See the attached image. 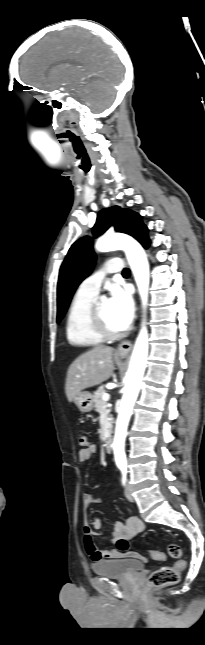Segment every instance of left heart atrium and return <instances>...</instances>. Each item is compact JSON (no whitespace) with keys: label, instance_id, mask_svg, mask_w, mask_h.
Listing matches in <instances>:
<instances>
[{"label":"left heart atrium","instance_id":"obj_1","mask_svg":"<svg viewBox=\"0 0 205 645\" xmlns=\"http://www.w3.org/2000/svg\"><path fill=\"white\" fill-rule=\"evenodd\" d=\"M108 302L116 323L121 330L126 329L131 324L135 311L132 295L127 290L114 286Z\"/></svg>","mask_w":205,"mask_h":645}]
</instances>
